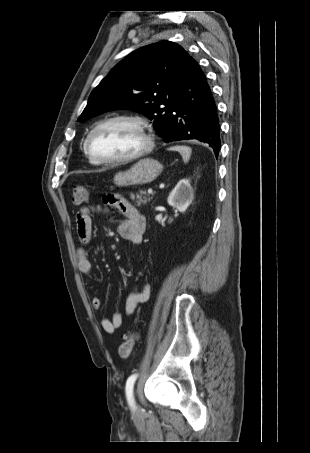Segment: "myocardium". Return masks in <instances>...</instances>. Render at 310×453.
I'll list each match as a JSON object with an SVG mask.
<instances>
[{
    "mask_svg": "<svg viewBox=\"0 0 310 453\" xmlns=\"http://www.w3.org/2000/svg\"><path fill=\"white\" fill-rule=\"evenodd\" d=\"M128 122L135 125L138 130L141 132L144 138L143 146L136 152L131 155L121 157V158H104L98 156L94 153L91 146V140L93 135L103 126L108 125L113 122ZM154 146L153 136L151 133L150 126L141 118L131 115H116L99 121L88 133L85 139V151L87 155L95 162L99 164H124L141 158L142 156L148 154Z\"/></svg>",
    "mask_w": 310,
    "mask_h": 453,
    "instance_id": "myocardium-1",
    "label": "myocardium"
}]
</instances>
